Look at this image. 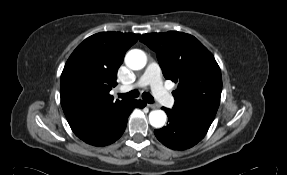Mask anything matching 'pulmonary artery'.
<instances>
[{
  "label": "pulmonary artery",
  "instance_id": "1",
  "mask_svg": "<svg viewBox=\"0 0 287 175\" xmlns=\"http://www.w3.org/2000/svg\"><path fill=\"white\" fill-rule=\"evenodd\" d=\"M150 86L155 98L163 105L170 106L173 103V98L168 90L164 87L160 77V68L157 63L151 62L147 66L145 72L140 77L138 82L132 86H121V92H127L135 87Z\"/></svg>",
  "mask_w": 287,
  "mask_h": 175
}]
</instances>
